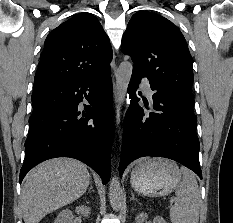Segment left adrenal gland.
I'll return each instance as SVG.
<instances>
[{"mask_svg": "<svg viewBox=\"0 0 233 223\" xmlns=\"http://www.w3.org/2000/svg\"><path fill=\"white\" fill-rule=\"evenodd\" d=\"M131 195H132L131 199H136V197H135L133 191H131ZM136 201H137V199H136Z\"/></svg>", "mask_w": 233, "mask_h": 223, "instance_id": "obj_1", "label": "left adrenal gland"}]
</instances>
